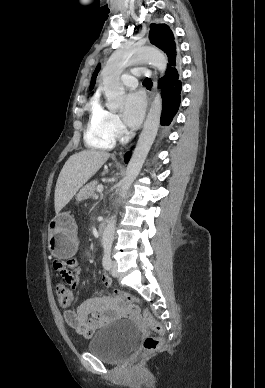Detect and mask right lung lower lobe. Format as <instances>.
<instances>
[{
  "instance_id": "right-lung-lower-lobe-1",
  "label": "right lung lower lobe",
  "mask_w": 265,
  "mask_h": 388,
  "mask_svg": "<svg viewBox=\"0 0 265 388\" xmlns=\"http://www.w3.org/2000/svg\"><path fill=\"white\" fill-rule=\"evenodd\" d=\"M129 158H130V152L126 153V155H125V162L126 163L129 161Z\"/></svg>"
}]
</instances>
